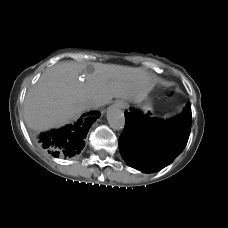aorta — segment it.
I'll use <instances>...</instances> for the list:
<instances>
[{
	"label": "aorta",
	"instance_id": "762f6f07",
	"mask_svg": "<svg viewBox=\"0 0 228 228\" xmlns=\"http://www.w3.org/2000/svg\"><path fill=\"white\" fill-rule=\"evenodd\" d=\"M107 120L110 127L114 130H122L125 127L124 113L115 105L108 108Z\"/></svg>",
	"mask_w": 228,
	"mask_h": 228
}]
</instances>
